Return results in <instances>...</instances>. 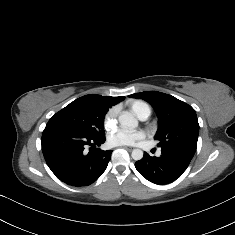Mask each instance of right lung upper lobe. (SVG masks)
Returning <instances> with one entry per match:
<instances>
[{"instance_id": "cb5924a9", "label": "right lung upper lobe", "mask_w": 235, "mask_h": 235, "mask_svg": "<svg viewBox=\"0 0 235 235\" xmlns=\"http://www.w3.org/2000/svg\"><path fill=\"white\" fill-rule=\"evenodd\" d=\"M125 97H108L96 94L85 95L76 99L74 102L82 103L90 108L98 111L107 112L108 109L120 101L124 100Z\"/></svg>"}]
</instances>
